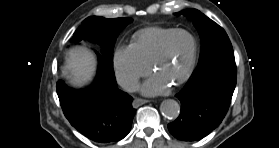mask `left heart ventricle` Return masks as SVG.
I'll list each match as a JSON object with an SVG mask.
<instances>
[{
	"mask_svg": "<svg viewBox=\"0 0 279 148\" xmlns=\"http://www.w3.org/2000/svg\"><path fill=\"white\" fill-rule=\"evenodd\" d=\"M191 51V38L184 33L175 35L168 44L166 56L157 65L155 75L173 83L186 67Z\"/></svg>",
	"mask_w": 279,
	"mask_h": 148,
	"instance_id": "left-heart-ventricle-1",
	"label": "left heart ventricle"
}]
</instances>
